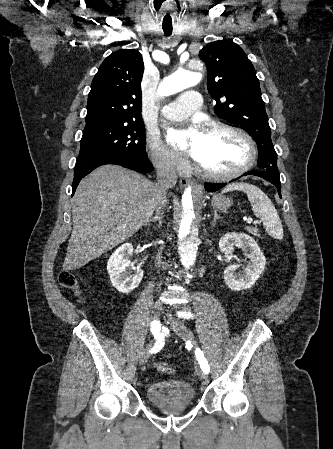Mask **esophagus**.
<instances>
[{
    "instance_id": "obj_1",
    "label": "esophagus",
    "mask_w": 333,
    "mask_h": 449,
    "mask_svg": "<svg viewBox=\"0 0 333 449\" xmlns=\"http://www.w3.org/2000/svg\"><path fill=\"white\" fill-rule=\"evenodd\" d=\"M180 185L182 186V187H187V186H189L190 185V181L188 180V179H185V178H182V179H180Z\"/></svg>"
}]
</instances>
